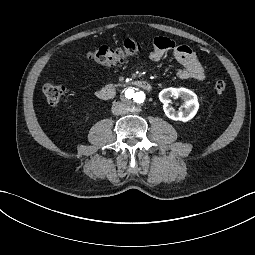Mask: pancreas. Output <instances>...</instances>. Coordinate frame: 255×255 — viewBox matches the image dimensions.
I'll use <instances>...</instances> for the list:
<instances>
[{
	"instance_id": "pancreas-1",
	"label": "pancreas",
	"mask_w": 255,
	"mask_h": 255,
	"mask_svg": "<svg viewBox=\"0 0 255 255\" xmlns=\"http://www.w3.org/2000/svg\"><path fill=\"white\" fill-rule=\"evenodd\" d=\"M111 85L114 86L115 88L121 86V84H111Z\"/></svg>"
}]
</instances>
